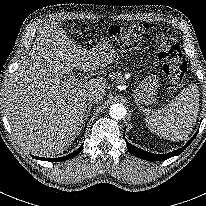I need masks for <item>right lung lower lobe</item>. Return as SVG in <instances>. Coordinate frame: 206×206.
Wrapping results in <instances>:
<instances>
[{"instance_id":"98d812e1","label":"right lung lower lobe","mask_w":206,"mask_h":206,"mask_svg":"<svg viewBox=\"0 0 206 206\" xmlns=\"http://www.w3.org/2000/svg\"><path fill=\"white\" fill-rule=\"evenodd\" d=\"M83 149V144L73 153L64 156V157H59V158H44V157H37V156H33V158L38 159V160H45V161H53V162H59V161H65L68 160L70 158H73L74 156L78 155Z\"/></svg>"}]
</instances>
